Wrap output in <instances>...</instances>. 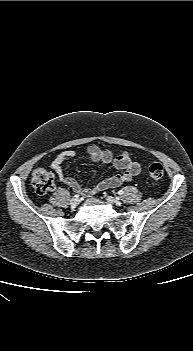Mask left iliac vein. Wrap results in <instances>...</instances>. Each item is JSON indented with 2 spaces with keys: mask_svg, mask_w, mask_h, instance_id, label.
Listing matches in <instances>:
<instances>
[{
  "mask_svg": "<svg viewBox=\"0 0 193 351\" xmlns=\"http://www.w3.org/2000/svg\"><path fill=\"white\" fill-rule=\"evenodd\" d=\"M106 200L108 203H110L112 205H120L121 204L120 200H118L117 198H114L112 196H107Z\"/></svg>",
  "mask_w": 193,
  "mask_h": 351,
  "instance_id": "4c4485c4",
  "label": "left iliac vein"
}]
</instances>
